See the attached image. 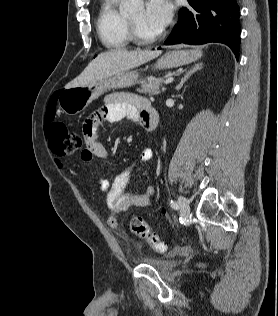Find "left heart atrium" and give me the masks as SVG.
Masks as SVG:
<instances>
[{"instance_id": "left-heart-atrium-1", "label": "left heart atrium", "mask_w": 278, "mask_h": 316, "mask_svg": "<svg viewBox=\"0 0 278 316\" xmlns=\"http://www.w3.org/2000/svg\"><path fill=\"white\" fill-rule=\"evenodd\" d=\"M173 16V4L170 0H148L145 6L146 23L162 31L171 21Z\"/></svg>"}]
</instances>
